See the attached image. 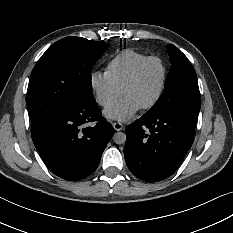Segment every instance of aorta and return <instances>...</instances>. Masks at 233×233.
I'll list each match as a JSON object with an SVG mask.
<instances>
[{
  "label": "aorta",
  "mask_w": 233,
  "mask_h": 233,
  "mask_svg": "<svg viewBox=\"0 0 233 233\" xmlns=\"http://www.w3.org/2000/svg\"><path fill=\"white\" fill-rule=\"evenodd\" d=\"M113 141H114L116 144H124L125 141H126V134L123 133V132H116V133L113 135Z\"/></svg>",
  "instance_id": "aorta-1"
}]
</instances>
